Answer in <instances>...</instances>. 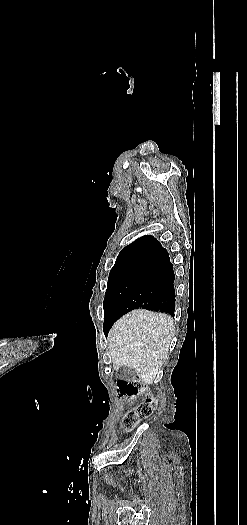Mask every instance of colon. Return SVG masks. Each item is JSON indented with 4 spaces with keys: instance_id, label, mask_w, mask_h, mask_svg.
Returning a JSON list of instances; mask_svg holds the SVG:
<instances>
[{
    "instance_id": "1",
    "label": "colon",
    "mask_w": 247,
    "mask_h": 525,
    "mask_svg": "<svg viewBox=\"0 0 247 525\" xmlns=\"http://www.w3.org/2000/svg\"><path fill=\"white\" fill-rule=\"evenodd\" d=\"M117 388L119 396L128 399H136L146 391L143 383L126 379L118 381ZM152 410L153 400L150 395H147L135 408L127 412L123 421L125 430H132L141 420L149 417Z\"/></svg>"
}]
</instances>
